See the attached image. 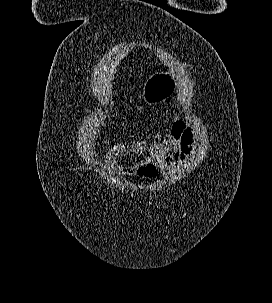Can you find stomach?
Returning <instances> with one entry per match:
<instances>
[{
  "mask_svg": "<svg viewBox=\"0 0 272 303\" xmlns=\"http://www.w3.org/2000/svg\"><path fill=\"white\" fill-rule=\"evenodd\" d=\"M176 88L177 81L170 72L158 71L147 78L141 98L146 104L156 105L172 96Z\"/></svg>",
  "mask_w": 272,
  "mask_h": 303,
  "instance_id": "stomach-1",
  "label": "stomach"
}]
</instances>
